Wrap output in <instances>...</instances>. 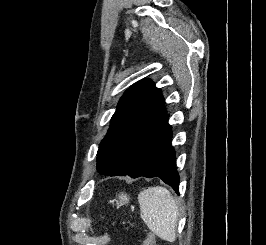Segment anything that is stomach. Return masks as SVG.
Segmentation results:
<instances>
[{
  "label": "stomach",
  "instance_id": "1",
  "mask_svg": "<svg viewBox=\"0 0 266 245\" xmlns=\"http://www.w3.org/2000/svg\"><path fill=\"white\" fill-rule=\"evenodd\" d=\"M117 199V203H118V207H123V205H129L131 199L129 197V195H127V193H118V195H116Z\"/></svg>",
  "mask_w": 266,
  "mask_h": 245
}]
</instances>
